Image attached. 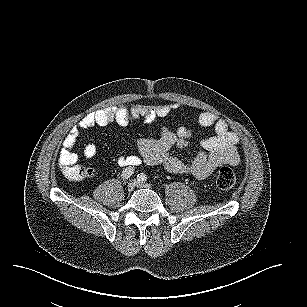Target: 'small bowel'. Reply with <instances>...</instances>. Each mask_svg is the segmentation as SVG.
<instances>
[{
	"mask_svg": "<svg viewBox=\"0 0 307 307\" xmlns=\"http://www.w3.org/2000/svg\"><path fill=\"white\" fill-rule=\"evenodd\" d=\"M179 107L178 103L119 106L89 113L64 138L59 153V163L65 166L77 161L78 155L73 148L82 131L96 126H108L112 123L125 126L130 121L138 119L150 123L157 118L168 116L171 111ZM198 122L203 127H214V134L201 140V150L190 161H184L172 155L170 150L173 147L186 149L191 131L186 127H179L176 130L162 127L158 137L145 138L138 142V154L120 156L117 160L118 165L125 168H134L142 163L161 165L170 172L189 174L198 179L208 177L221 165H238L241 161L237 149L239 139L228 124L211 112H202L198 117ZM83 153L86 158H94L97 149L95 145L88 144Z\"/></svg>",
	"mask_w": 307,
	"mask_h": 307,
	"instance_id": "c3829d8e",
	"label": "small bowel"
}]
</instances>
